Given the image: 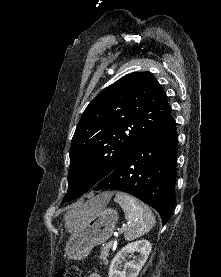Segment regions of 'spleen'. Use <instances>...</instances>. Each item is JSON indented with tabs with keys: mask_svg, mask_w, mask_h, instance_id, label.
<instances>
[{
	"mask_svg": "<svg viewBox=\"0 0 221 277\" xmlns=\"http://www.w3.org/2000/svg\"><path fill=\"white\" fill-rule=\"evenodd\" d=\"M114 201L122 207L129 222L124 229L125 240L131 241L139 238L154 227L155 216L143 202L123 192H117Z\"/></svg>",
	"mask_w": 221,
	"mask_h": 277,
	"instance_id": "spleen-1",
	"label": "spleen"
}]
</instances>
